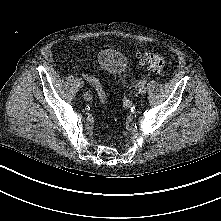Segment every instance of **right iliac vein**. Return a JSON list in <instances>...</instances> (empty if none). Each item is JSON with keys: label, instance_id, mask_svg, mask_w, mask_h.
<instances>
[{"label": "right iliac vein", "instance_id": "1", "mask_svg": "<svg viewBox=\"0 0 221 221\" xmlns=\"http://www.w3.org/2000/svg\"><path fill=\"white\" fill-rule=\"evenodd\" d=\"M78 84H79L80 87H83V86H84L83 80H82V79H79V80H78Z\"/></svg>", "mask_w": 221, "mask_h": 221}]
</instances>
